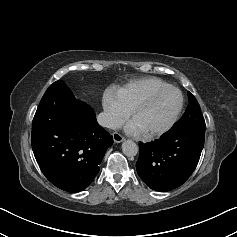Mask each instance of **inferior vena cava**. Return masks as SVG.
Wrapping results in <instances>:
<instances>
[{"mask_svg": "<svg viewBox=\"0 0 237 237\" xmlns=\"http://www.w3.org/2000/svg\"><path fill=\"white\" fill-rule=\"evenodd\" d=\"M97 122L100 126L110 129H117L119 127L118 120L114 116L106 112H102L97 116Z\"/></svg>", "mask_w": 237, "mask_h": 237, "instance_id": "1", "label": "inferior vena cava"}]
</instances>
